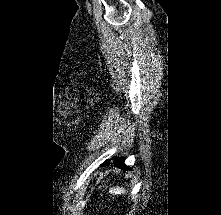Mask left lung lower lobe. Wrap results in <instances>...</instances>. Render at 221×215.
Wrapping results in <instances>:
<instances>
[{"label": "left lung lower lobe", "mask_w": 221, "mask_h": 215, "mask_svg": "<svg viewBox=\"0 0 221 215\" xmlns=\"http://www.w3.org/2000/svg\"><path fill=\"white\" fill-rule=\"evenodd\" d=\"M108 162H109V161H107V162H106L105 164H103V165L108 164ZM114 163H115V166L118 167V168H124L125 170H129V169L131 170V168L125 166L123 159L117 158V159L114 161Z\"/></svg>", "instance_id": "obj_1"}]
</instances>
